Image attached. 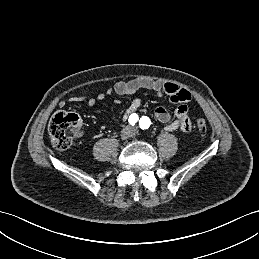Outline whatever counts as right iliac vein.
Masks as SVG:
<instances>
[{"label":"right iliac vein","instance_id":"right-iliac-vein-1","mask_svg":"<svg viewBox=\"0 0 259 259\" xmlns=\"http://www.w3.org/2000/svg\"><path fill=\"white\" fill-rule=\"evenodd\" d=\"M131 136V132L130 130L127 128V129H124L122 132H121V139L122 140H127L129 137Z\"/></svg>","mask_w":259,"mask_h":259}]
</instances>
